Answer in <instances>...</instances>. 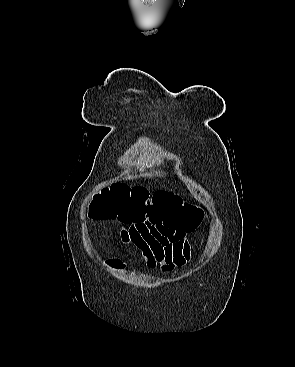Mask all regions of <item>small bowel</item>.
<instances>
[{
	"mask_svg": "<svg viewBox=\"0 0 295 367\" xmlns=\"http://www.w3.org/2000/svg\"><path fill=\"white\" fill-rule=\"evenodd\" d=\"M122 224V243L135 246L149 268L171 272L191 260V245L186 238L189 231L166 221ZM107 264L117 270L125 268L124 262L117 258L109 259Z\"/></svg>",
	"mask_w": 295,
	"mask_h": 367,
	"instance_id": "c3829d8e",
	"label": "small bowel"
}]
</instances>
